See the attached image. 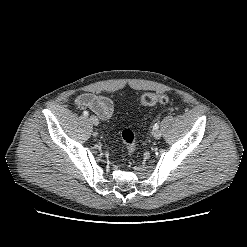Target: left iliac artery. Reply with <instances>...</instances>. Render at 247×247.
Listing matches in <instances>:
<instances>
[{"mask_svg":"<svg viewBox=\"0 0 247 247\" xmlns=\"http://www.w3.org/2000/svg\"><path fill=\"white\" fill-rule=\"evenodd\" d=\"M158 128H159V124H157V123H156V124H154L153 129H155V130H156V129H158Z\"/></svg>","mask_w":247,"mask_h":247,"instance_id":"left-iliac-artery-1","label":"left iliac artery"}]
</instances>
